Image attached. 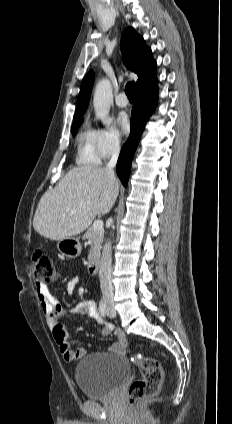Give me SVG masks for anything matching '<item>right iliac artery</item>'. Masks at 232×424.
I'll return each instance as SVG.
<instances>
[{"mask_svg":"<svg viewBox=\"0 0 232 424\" xmlns=\"http://www.w3.org/2000/svg\"><path fill=\"white\" fill-rule=\"evenodd\" d=\"M99 312L103 317H106V303L104 300H101L99 303Z\"/></svg>","mask_w":232,"mask_h":424,"instance_id":"right-iliac-artery-1","label":"right iliac artery"}]
</instances>
